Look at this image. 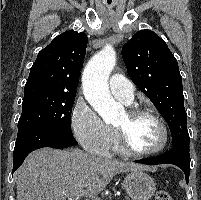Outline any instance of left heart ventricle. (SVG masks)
I'll list each match as a JSON object with an SVG mask.
<instances>
[{
    "label": "left heart ventricle",
    "mask_w": 201,
    "mask_h": 200,
    "mask_svg": "<svg viewBox=\"0 0 201 200\" xmlns=\"http://www.w3.org/2000/svg\"><path fill=\"white\" fill-rule=\"evenodd\" d=\"M116 127L125 130L130 144L139 151L154 149L162 141V132L159 125L149 116L131 120L126 113L118 121Z\"/></svg>",
    "instance_id": "left-heart-ventricle-1"
}]
</instances>
